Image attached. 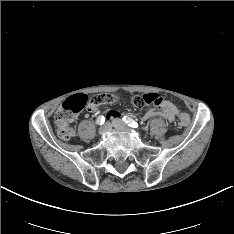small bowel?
Here are the masks:
<instances>
[{
	"label": "small bowel",
	"instance_id": "obj_1",
	"mask_svg": "<svg viewBox=\"0 0 234 234\" xmlns=\"http://www.w3.org/2000/svg\"><path fill=\"white\" fill-rule=\"evenodd\" d=\"M119 100V97L110 94H103L97 96L89 104L88 109L91 113L96 114L103 107L102 114H106L108 118H116L120 116V113L116 110L108 112V108L104 104L112 103ZM134 104L139 109L151 108L143 115V119L147 120L156 116H162L167 121L172 122L179 114V110L175 104L166 100L165 96L161 93H155L151 95H142L135 99ZM108 112V113H106Z\"/></svg>",
	"mask_w": 234,
	"mask_h": 234
}]
</instances>
